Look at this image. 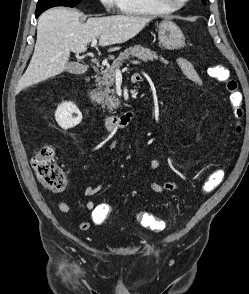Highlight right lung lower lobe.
<instances>
[{
    "label": "right lung lower lobe",
    "instance_id": "obj_1",
    "mask_svg": "<svg viewBox=\"0 0 249 294\" xmlns=\"http://www.w3.org/2000/svg\"><path fill=\"white\" fill-rule=\"evenodd\" d=\"M41 13H42V11H36V14H35L36 18H37Z\"/></svg>",
    "mask_w": 249,
    "mask_h": 294
}]
</instances>
